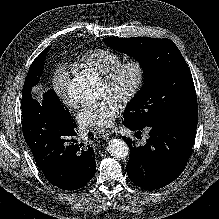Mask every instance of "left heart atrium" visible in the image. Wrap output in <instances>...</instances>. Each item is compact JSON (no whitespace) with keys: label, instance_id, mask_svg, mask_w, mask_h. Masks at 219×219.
<instances>
[{"label":"left heart atrium","instance_id":"39dd6f15","mask_svg":"<svg viewBox=\"0 0 219 219\" xmlns=\"http://www.w3.org/2000/svg\"><path fill=\"white\" fill-rule=\"evenodd\" d=\"M120 111V101L111 95H105L99 101L86 105L79 112L77 120L83 128H106L119 116Z\"/></svg>","mask_w":219,"mask_h":219}]
</instances>
